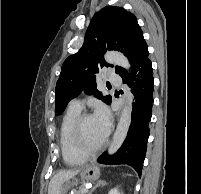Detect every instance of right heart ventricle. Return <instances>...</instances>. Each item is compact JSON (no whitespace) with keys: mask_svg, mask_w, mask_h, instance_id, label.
Instances as JSON below:
<instances>
[{"mask_svg":"<svg viewBox=\"0 0 201 194\" xmlns=\"http://www.w3.org/2000/svg\"><path fill=\"white\" fill-rule=\"evenodd\" d=\"M81 110L69 107L64 114L60 132L59 142L63 161L70 166L80 165L87 159L75 147L73 138V128L76 119L79 117Z\"/></svg>","mask_w":201,"mask_h":194,"instance_id":"e07e8e85","label":"right heart ventricle"}]
</instances>
